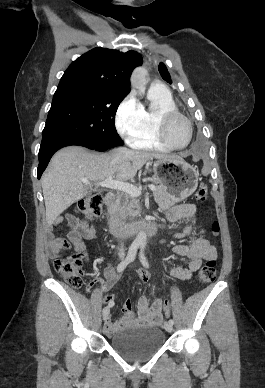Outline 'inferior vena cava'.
<instances>
[{
  "mask_svg": "<svg viewBox=\"0 0 265 388\" xmlns=\"http://www.w3.org/2000/svg\"><path fill=\"white\" fill-rule=\"evenodd\" d=\"M118 256H120V258H124V256H125L124 246H121V248L118 252Z\"/></svg>",
  "mask_w": 265,
  "mask_h": 388,
  "instance_id": "obj_1",
  "label": "inferior vena cava"
}]
</instances>
